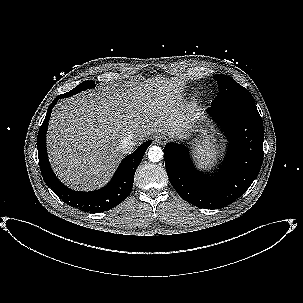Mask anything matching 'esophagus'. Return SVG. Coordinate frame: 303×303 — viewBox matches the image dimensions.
Segmentation results:
<instances>
[{
  "label": "esophagus",
  "mask_w": 303,
  "mask_h": 303,
  "mask_svg": "<svg viewBox=\"0 0 303 303\" xmlns=\"http://www.w3.org/2000/svg\"><path fill=\"white\" fill-rule=\"evenodd\" d=\"M164 139H165V137H163V136H157V137L155 138V142H156L157 144H162V143L164 142Z\"/></svg>",
  "instance_id": "34e87169"
}]
</instances>
